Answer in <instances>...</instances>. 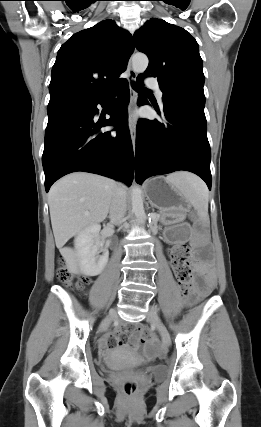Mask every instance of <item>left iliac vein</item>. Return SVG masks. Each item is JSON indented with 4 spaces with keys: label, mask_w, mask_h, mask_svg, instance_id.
I'll return each mask as SVG.
<instances>
[{
    "label": "left iliac vein",
    "mask_w": 261,
    "mask_h": 427,
    "mask_svg": "<svg viewBox=\"0 0 261 427\" xmlns=\"http://www.w3.org/2000/svg\"><path fill=\"white\" fill-rule=\"evenodd\" d=\"M147 320L154 327H156V329L158 330V332L161 335L163 344L167 347L170 346L171 345L170 334H169L167 328L165 327V325L162 323L161 319L159 318L155 307H153V306L150 307V309L147 313Z\"/></svg>",
    "instance_id": "left-iliac-vein-1"
}]
</instances>
